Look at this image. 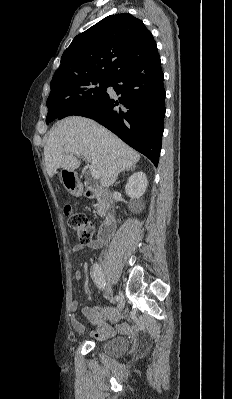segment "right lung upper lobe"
Wrapping results in <instances>:
<instances>
[{
    "mask_svg": "<svg viewBox=\"0 0 232 399\" xmlns=\"http://www.w3.org/2000/svg\"><path fill=\"white\" fill-rule=\"evenodd\" d=\"M155 51L156 42L140 19L128 13L110 15L73 39L53 76L50 95L110 79Z\"/></svg>",
    "mask_w": 232,
    "mask_h": 399,
    "instance_id": "right-lung-upper-lobe-1",
    "label": "right lung upper lobe"
}]
</instances>
